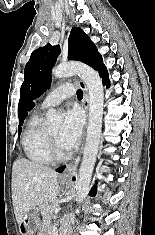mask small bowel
Returning <instances> with one entry per match:
<instances>
[{
	"label": "small bowel",
	"instance_id": "c3829d8e",
	"mask_svg": "<svg viewBox=\"0 0 155 235\" xmlns=\"http://www.w3.org/2000/svg\"><path fill=\"white\" fill-rule=\"evenodd\" d=\"M39 235H49V232L44 231V232H41Z\"/></svg>",
	"mask_w": 155,
	"mask_h": 235
}]
</instances>
